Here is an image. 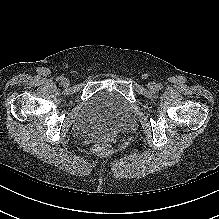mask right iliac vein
Returning a JSON list of instances; mask_svg holds the SVG:
<instances>
[{
    "mask_svg": "<svg viewBox=\"0 0 219 219\" xmlns=\"http://www.w3.org/2000/svg\"><path fill=\"white\" fill-rule=\"evenodd\" d=\"M61 84L64 86V87H67L69 86L70 84V80L68 78H63V80L61 81Z\"/></svg>",
    "mask_w": 219,
    "mask_h": 219,
    "instance_id": "obj_1",
    "label": "right iliac vein"
}]
</instances>
